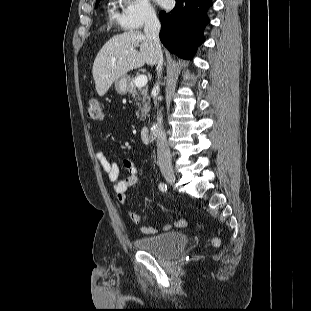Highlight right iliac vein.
Instances as JSON below:
<instances>
[{
  "label": "right iliac vein",
  "mask_w": 311,
  "mask_h": 311,
  "mask_svg": "<svg viewBox=\"0 0 311 311\" xmlns=\"http://www.w3.org/2000/svg\"><path fill=\"white\" fill-rule=\"evenodd\" d=\"M161 172L169 184L173 185L175 183L176 177H175L174 171L171 167L162 168Z\"/></svg>",
  "instance_id": "1"
}]
</instances>
